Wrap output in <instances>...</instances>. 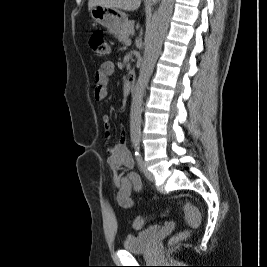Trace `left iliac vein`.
Masks as SVG:
<instances>
[{
    "label": "left iliac vein",
    "instance_id": "obj_1",
    "mask_svg": "<svg viewBox=\"0 0 267 267\" xmlns=\"http://www.w3.org/2000/svg\"><path fill=\"white\" fill-rule=\"evenodd\" d=\"M141 170L143 172V174L145 175V177L150 180V181H154V176L153 174L147 169V167L145 166L144 162L142 161L141 164Z\"/></svg>",
    "mask_w": 267,
    "mask_h": 267
}]
</instances>
